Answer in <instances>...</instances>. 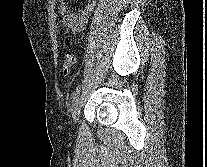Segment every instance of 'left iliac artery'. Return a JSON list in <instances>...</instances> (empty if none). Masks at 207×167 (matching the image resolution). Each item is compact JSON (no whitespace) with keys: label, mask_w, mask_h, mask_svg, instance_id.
<instances>
[{"label":"left iliac artery","mask_w":207,"mask_h":167,"mask_svg":"<svg viewBox=\"0 0 207 167\" xmlns=\"http://www.w3.org/2000/svg\"><path fill=\"white\" fill-rule=\"evenodd\" d=\"M80 91H81V85L79 84V85L76 87L75 91L72 93V96H71L72 101H75V100L78 98V96H79V94H80Z\"/></svg>","instance_id":"obj_1"}]
</instances>
